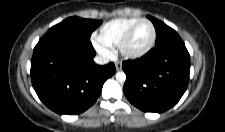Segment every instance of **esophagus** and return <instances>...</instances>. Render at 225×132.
I'll return each mask as SVG.
<instances>
[{"instance_id":"1","label":"esophagus","mask_w":225,"mask_h":132,"mask_svg":"<svg viewBox=\"0 0 225 132\" xmlns=\"http://www.w3.org/2000/svg\"><path fill=\"white\" fill-rule=\"evenodd\" d=\"M115 68H116L117 71H120V70L122 69V63L119 62V61H117V62L115 63Z\"/></svg>"}]
</instances>
